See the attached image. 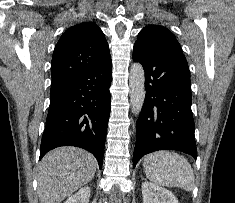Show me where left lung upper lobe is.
I'll list each match as a JSON object with an SVG mask.
<instances>
[{
	"label": "left lung upper lobe",
	"mask_w": 235,
	"mask_h": 203,
	"mask_svg": "<svg viewBox=\"0 0 235 203\" xmlns=\"http://www.w3.org/2000/svg\"><path fill=\"white\" fill-rule=\"evenodd\" d=\"M135 44L163 52L168 56L187 63L179 42L175 36L163 26L150 25L145 27L138 34Z\"/></svg>",
	"instance_id": "1"
}]
</instances>
